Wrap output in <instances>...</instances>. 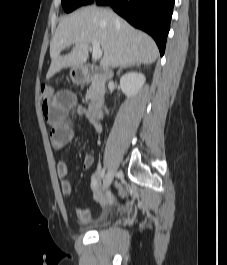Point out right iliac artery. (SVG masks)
Returning a JSON list of instances; mask_svg holds the SVG:
<instances>
[{
    "label": "right iliac artery",
    "instance_id": "obj_1",
    "mask_svg": "<svg viewBox=\"0 0 227 265\" xmlns=\"http://www.w3.org/2000/svg\"><path fill=\"white\" fill-rule=\"evenodd\" d=\"M106 175H105V170L103 169L102 172H101V174H100V178L102 179V178L106 177Z\"/></svg>",
    "mask_w": 227,
    "mask_h": 265
}]
</instances>
